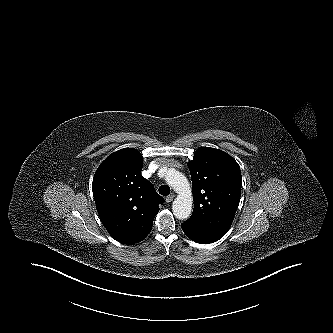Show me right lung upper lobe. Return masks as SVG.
Returning <instances> with one entry per match:
<instances>
[{"label":"right lung upper lobe","mask_w":333,"mask_h":333,"mask_svg":"<svg viewBox=\"0 0 333 333\" xmlns=\"http://www.w3.org/2000/svg\"><path fill=\"white\" fill-rule=\"evenodd\" d=\"M141 170L140 152L125 148L109 155L93 178L100 220L115 240L125 244L138 243L150 233L158 205L164 202Z\"/></svg>","instance_id":"obj_1"}]
</instances>
